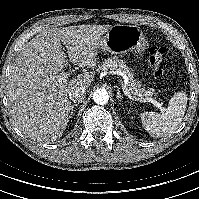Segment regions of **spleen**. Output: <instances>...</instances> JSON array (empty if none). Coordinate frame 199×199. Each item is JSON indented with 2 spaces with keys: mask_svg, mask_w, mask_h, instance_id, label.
<instances>
[{
  "mask_svg": "<svg viewBox=\"0 0 199 199\" xmlns=\"http://www.w3.org/2000/svg\"><path fill=\"white\" fill-rule=\"evenodd\" d=\"M186 105V93L183 91L177 92L170 99L165 112H144L140 114V120L151 136L164 137L177 129L184 117Z\"/></svg>",
  "mask_w": 199,
  "mask_h": 199,
  "instance_id": "1",
  "label": "spleen"
}]
</instances>
